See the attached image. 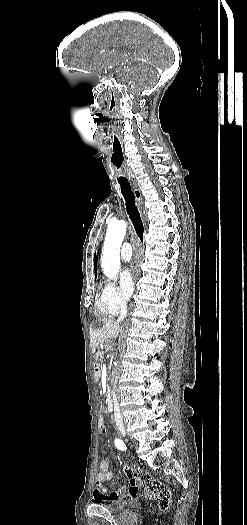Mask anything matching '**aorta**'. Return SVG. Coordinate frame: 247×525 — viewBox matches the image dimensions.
Wrapping results in <instances>:
<instances>
[{
  "mask_svg": "<svg viewBox=\"0 0 247 525\" xmlns=\"http://www.w3.org/2000/svg\"><path fill=\"white\" fill-rule=\"evenodd\" d=\"M126 222L123 220L108 225L103 245L101 264L106 277L113 280L120 268V247L126 233Z\"/></svg>",
  "mask_w": 247,
  "mask_h": 525,
  "instance_id": "762f6f07",
  "label": "aorta"
}]
</instances>
